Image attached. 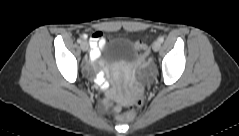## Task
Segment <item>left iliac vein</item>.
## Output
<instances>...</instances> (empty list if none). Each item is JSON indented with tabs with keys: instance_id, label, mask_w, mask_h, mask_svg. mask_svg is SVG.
I'll list each match as a JSON object with an SVG mask.
<instances>
[{
	"instance_id": "1",
	"label": "left iliac vein",
	"mask_w": 239,
	"mask_h": 136,
	"mask_svg": "<svg viewBox=\"0 0 239 136\" xmlns=\"http://www.w3.org/2000/svg\"><path fill=\"white\" fill-rule=\"evenodd\" d=\"M160 47H161V43L159 41H155L152 45V49L156 52L159 51Z\"/></svg>"
}]
</instances>
